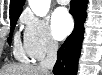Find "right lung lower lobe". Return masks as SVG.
<instances>
[{
    "label": "right lung lower lobe",
    "mask_w": 102,
    "mask_h": 75,
    "mask_svg": "<svg viewBox=\"0 0 102 75\" xmlns=\"http://www.w3.org/2000/svg\"><path fill=\"white\" fill-rule=\"evenodd\" d=\"M87 3V0H71L70 14L75 20V27L58 50L57 61L53 68L55 75H76L77 73V63L84 34V22L87 16Z\"/></svg>",
    "instance_id": "right-lung-lower-lobe-1"
}]
</instances>
